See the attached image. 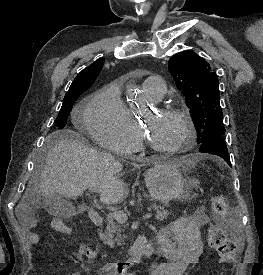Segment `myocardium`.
I'll return each mask as SVG.
<instances>
[{
  "instance_id": "1",
  "label": "myocardium",
  "mask_w": 263,
  "mask_h": 275,
  "mask_svg": "<svg viewBox=\"0 0 263 275\" xmlns=\"http://www.w3.org/2000/svg\"><path fill=\"white\" fill-rule=\"evenodd\" d=\"M157 111L164 115H172L179 118L185 125L186 134L184 139L179 145L173 148H163L154 144L148 137L145 128L141 127L142 137L149 149L155 153L161 155H175L183 151L189 150L194 146L196 139V128L191 116L183 109L177 107H162L157 109Z\"/></svg>"
}]
</instances>
